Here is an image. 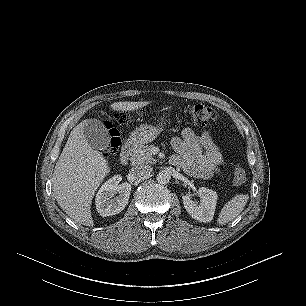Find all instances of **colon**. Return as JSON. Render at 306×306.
Wrapping results in <instances>:
<instances>
[{
  "instance_id": "5ec220e1",
  "label": "colon",
  "mask_w": 306,
  "mask_h": 306,
  "mask_svg": "<svg viewBox=\"0 0 306 306\" xmlns=\"http://www.w3.org/2000/svg\"><path fill=\"white\" fill-rule=\"evenodd\" d=\"M187 111L192 120L199 125H214L219 118L218 112L214 108L204 104H191L187 107ZM120 119L125 120V117L121 115ZM108 129L110 139L109 147L106 153L107 157L115 153L120 144V138L117 130L112 125H109ZM233 181L237 186L243 185L246 181V172L240 165L235 167Z\"/></svg>"
}]
</instances>
